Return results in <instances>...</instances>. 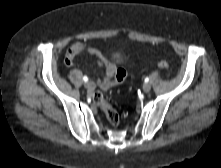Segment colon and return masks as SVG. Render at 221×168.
Instances as JSON below:
<instances>
[{"mask_svg":"<svg viewBox=\"0 0 221 168\" xmlns=\"http://www.w3.org/2000/svg\"><path fill=\"white\" fill-rule=\"evenodd\" d=\"M159 68L161 69H168L169 68V64L168 62L162 60L158 63ZM92 100L95 104H97L98 106H100L105 115L106 118L108 120V122L110 123L111 126L116 127L119 125V114L117 113V111L115 109L112 108V106L105 100L104 96L102 95L101 92H94L93 96H92Z\"/></svg>","mask_w":221,"mask_h":168,"instance_id":"1","label":"colon"}]
</instances>
